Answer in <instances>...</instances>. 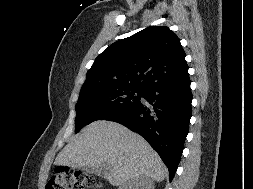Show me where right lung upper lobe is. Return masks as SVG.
I'll list each match as a JSON object with an SVG mask.
<instances>
[{
    "instance_id": "obj_1",
    "label": "right lung upper lobe",
    "mask_w": 253,
    "mask_h": 189,
    "mask_svg": "<svg viewBox=\"0 0 253 189\" xmlns=\"http://www.w3.org/2000/svg\"><path fill=\"white\" fill-rule=\"evenodd\" d=\"M188 77L179 38L168 28L150 26L109 46L87 73L81 92L107 86L142 91Z\"/></svg>"
}]
</instances>
